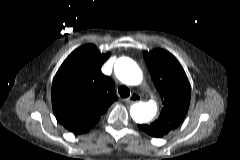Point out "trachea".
Wrapping results in <instances>:
<instances>
[{"label": "trachea", "mask_w": 240, "mask_h": 160, "mask_svg": "<svg viewBox=\"0 0 240 160\" xmlns=\"http://www.w3.org/2000/svg\"><path fill=\"white\" fill-rule=\"evenodd\" d=\"M118 93L121 96V98H127L130 95V89L125 85H121L118 88Z\"/></svg>", "instance_id": "3493384b"}]
</instances>
